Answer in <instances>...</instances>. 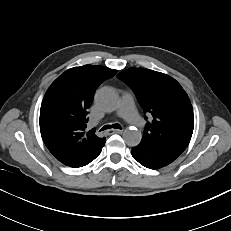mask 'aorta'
<instances>
[{"mask_svg": "<svg viewBox=\"0 0 231 231\" xmlns=\"http://www.w3.org/2000/svg\"><path fill=\"white\" fill-rule=\"evenodd\" d=\"M96 103L105 110H114L118 105V95L110 87L101 88L96 93ZM141 138V132L137 129H126L123 133V139L128 146H137Z\"/></svg>", "mask_w": 231, "mask_h": 231, "instance_id": "1", "label": "aorta"}]
</instances>
